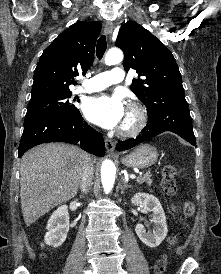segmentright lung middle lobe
I'll return each mask as SVG.
<instances>
[{
	"mask_svg": "<svg viewBox=\"0 0 221 274\" xmlns=\"http://www.w3.org/2000/svg\"><path fill=\"white\" fill-rule=\"evenodd\" d=\"M71 94L51 95L30 100L25 121L55 114H63L74 118L80 116L79 109L70 100Z\"/></svg>",
	"mask_w": 221,
	"mask_h": 274,
	"instance_id": "obj_1",
	"label": "right lung middle lobe"
}]
</instances>
